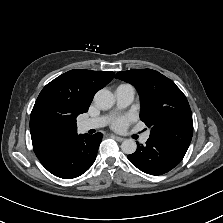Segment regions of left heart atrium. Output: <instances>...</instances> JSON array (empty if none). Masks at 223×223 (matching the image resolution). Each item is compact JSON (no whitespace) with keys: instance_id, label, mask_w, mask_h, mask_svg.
Instances as JSON below:
<instances>
[{"instance_id":"left-heart-atrium-1","label":"left heart atrium","mask_w":223,"mask_h":223,"mask_svg":"<svg viewBox=\"0 0 223 223\" xmlns=\"http://www.w3.org/2000/svg\"><path fill=\"white\" fill-rule=\"evenodd\" d=\"M132 119L133 117L131 115L119 117L113 121L112 125L116 130H121L124 129Z\"/></svg>"}]
</instances>
